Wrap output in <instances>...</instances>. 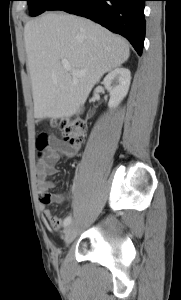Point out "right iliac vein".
<instances>
[{
	"label": "right iliac vein",
	"mask_w": 181,
	"mask_h": 300,
	"mask_svg": "<svg viewBox=\"0 0 181 300\" xmlns=\"http://www.w3.org/2000/svg\"><path fill=\"white\" fill-rule=\"evenodd\" d=\"M65 235H64V241L68 245L70 244L74 238H75V227L74 224H70L66 229H65Z\"/></svg>",
	"instance_id": "1"
}]
</instances>
